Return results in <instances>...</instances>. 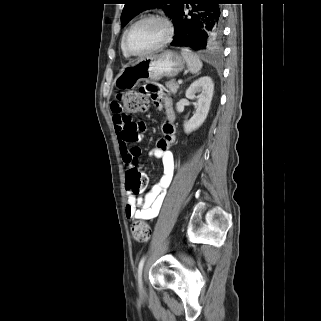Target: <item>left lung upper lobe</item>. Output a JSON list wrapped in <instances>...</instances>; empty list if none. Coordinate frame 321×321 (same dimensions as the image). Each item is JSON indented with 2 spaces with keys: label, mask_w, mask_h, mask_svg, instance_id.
<instances>
[{
  "label": "left lung upper lobe",
  "mask_w": 321,
  "mask_h": 321,
  "mask_svg": "<svg viewBox=\"0 0 321 321\" xmlns=\"http://www.w3.org/2000/svg\"><path fill=\"white\" fill-rule=\"evenodd\" d=\"M184 0H125V6L121 14V24L125 26L138 13L143 10L162 7L165 13L173 18L177 9Z\"/></svg>",
  "instance_id": "left-lung-upper-lobe-1"
}]
</instances>
